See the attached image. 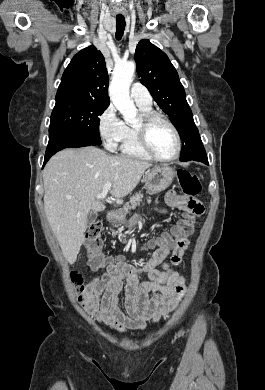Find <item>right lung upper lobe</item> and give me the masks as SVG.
Returning <instances> with one entry per match:
<instances>
[{"instance_id":"right-lung-upper-lobe-1","label":"right lung upper lobe","mask_w":265,"mask_h":390,"mask_svg":"<svg viewBox=\"0 0 265 390\" xmlns=\"http://www.w3.org/2000/svg\"><path fill=\"white\" fill-rule=\"evenodd\" d=\"M104 56L94 46L79 51L65 69L56 101L89 100L110 104Z\"/></svg>"}]
</instances>
